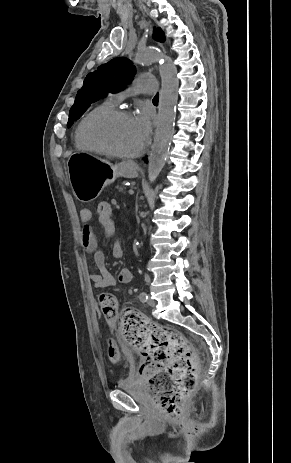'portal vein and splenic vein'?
<instances>
[{"label":"portal vein and splenic vein","mask_w":291,"mask_h":463,"mask_svg":"<svg viewBox=\"0 0 291 463\" xmlns=\"http://www.w3.org/2000/svg\"><path fill=\"white\" fill-rule=\"evenodd\" d=\"M129 194H134V190L133 189H129Z\"/></svg>","instance_id":"portal-vein-and-splenic-vein-1"}]
</instances>
